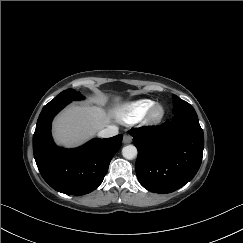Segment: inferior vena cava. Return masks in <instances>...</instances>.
<instances>
[{
  "label": "inferior vena cava",
  "mask_w": 243,
  "mask_h": 243,
  "mask_svg": "<svg viewBox=\"0 0 243 243\" xmlns=\"http://www.w3.org/2000/svg\"><path fill=\"white\" fill-rule=\"evenodd\" d=\"M117 134H118V128L116 126H108L107 128L101 130L98 133V136L102 138H109V137L116 136Z\"/></svg>",
  "instance_id": "inferior-vena-cava-1"
}]
</instances>
